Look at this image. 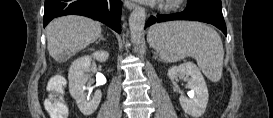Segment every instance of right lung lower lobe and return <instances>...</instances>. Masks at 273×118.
<instances>
[{
	"mask_svg": "<svg viewBox=\"0 0 273 118\" xmlns=\"http://www.w3.org/2000/svg\"><path fill=\"white\" fill-rule=\"evenodd\" d=\"M122 2L117 0H45L44 27L54 18L64 15H81L108 25L121 32Z\"/></svg>",
	"mask_w": 273,
	"mask_h": 118,
	"instance_id": "98d812e1",
	"label": "right lung lower lobe"
}]
</instances>
